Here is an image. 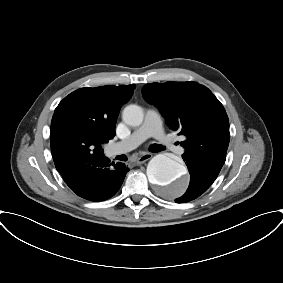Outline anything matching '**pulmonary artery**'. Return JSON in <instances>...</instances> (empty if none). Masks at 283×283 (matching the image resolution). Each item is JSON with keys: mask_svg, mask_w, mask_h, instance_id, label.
<instances>
[{"mask_svg": "<svg viewBox=\"0 0 283 283\" xmlns=\"http://www.w3.org/2000/svg\"><path fill=\"white\" fill-rule=\"evenodd\" d=\"M149 137H154L162 146L171 151L175 152L178 150L174 141L164 133L159 112L155 109H149L146 112L145 120L141 127L134 131L127 139L116 143L113 147L114 152L121 153L132 150Z\"/></svg>", "mask_w": 283, "mask_h": 283, "instance_id": "obj_1", "label": "pulmonary artery"}]
</instances>
